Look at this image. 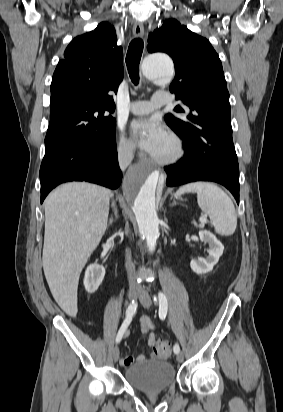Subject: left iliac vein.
<instances>
[{"label": "left iliac vein", "mask_w": 283, "mask_h": 412, "mask_svg": "<svg viewBox=\"0 0 283 412\" xmlns=\"http://www.w3.org/2000/svg\"><path fill=\"white\" fill-rule=\"evenodd\" d=\"M139 299H140L141 304L145 308H149L151 306L152 300H151L149 293L147 292L145 288L140 289ZM176 358H177V361L181 363L184 360V355L181 352L177 353Z\"/></svg>", "instance_id": "4c4485c4"}]
</instances>
